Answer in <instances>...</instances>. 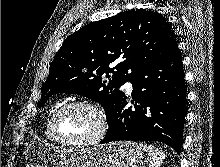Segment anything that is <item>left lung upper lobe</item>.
<instances>
[{
  "label": "left lung upper lobe",
  "instance_id": "obj_1",
  "mask_svg": "<svg viewBox=\"0 0 220 167\" xmlns=\"http://www.w3.org/2000/svg\"><path fill=\"white\" fill-rule=\"evenodd\" d=\"M176 48L168 22L145 9L85 25L68 36L55 55L38 107L56 93L80 94L101 103L108 119L124 95L119 88L137 71Z\"/></svg>",
  "mask_w": 220,
  "mask_h": 167
}]
</instances>
